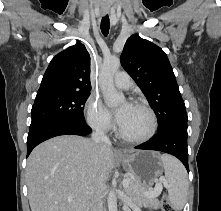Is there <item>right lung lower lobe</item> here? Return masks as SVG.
Instances as JSON below:
<instances>
[{"mask_svg":"<svg viewBox=\"0 0 221 211\" xmlns=\"http://www.w3.org/2000/svg\"><path fill=\"white\" fill-rule=\"evenodd\" d=\"M91 128L86 123L75 121L53 120L30 127L27 138V156L41 142L59 135L86 136Z\"/></svg>","mask_w":221,"mask_h":211,"instance_id":"right-lung-lower-lobe-1","label":"right lung lower lobe"}]
</instances>
